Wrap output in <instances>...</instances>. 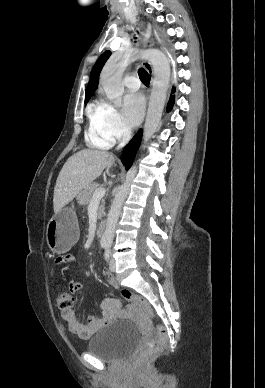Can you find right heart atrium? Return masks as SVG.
I'll return each mask as SVG.
<instances>
[{
  "mask_svg": "<svg viewBox=\"0 0 265 388\" xmlns=\"http://www.w3.org/2000/svg\"><path fill=\"white\" fill-rule=\"evenodd\" d=\"M97 115L101 131L110 139L127 137L130 126L124 121L120 112L109 102L100 101L97 105Z\"/></svg>",
  "mask_w": 265,
  "mask_h": 388,
  "instance_id": "obj_1",
  "label": "right heart atrium"
}]
</instances>
